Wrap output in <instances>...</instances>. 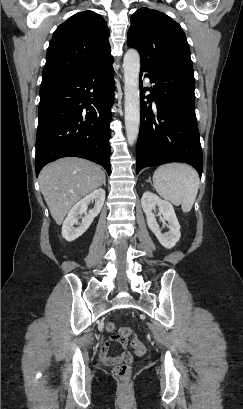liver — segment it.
Listing matches in <instances>:
<instances>
[{
	"label": "liver",
	"mask_w": 243,
	"mask_h": 409,
	"mask_svg": "<svg viewBox=\"0 0 243 409\" xmlns=\"http://www.w3.org/2000/svg\"><path fill=\"white\" fill-rule=\"evenodd\" d=\"M104 177L99 165L81 158L67 157L46 165L39 183L55 222L62 224L72 206L99 188Z\"/></svg>",
	"instance_id": "obj_1"
}]
</instances>
